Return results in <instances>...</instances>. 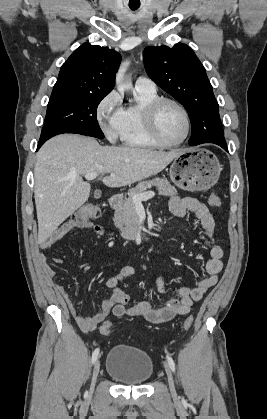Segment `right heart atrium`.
I'll use <instances>...</instances> for the list:
<instances>
[{
	"label": "right heart atrium",
	"mask_w": 267,
	"mask_h": 419,
	"mask_svg": "<svg viewBox=\"0 0 267 419\" xmlns=\"http://www.w3.org/2000/svg\"><path fill=\"white\" fill-rule=\"evenodd\" d=\"M121 98L116 91L105 95L96 107V119L104 135L115 141L120 134Z\"/></svg>",
	"instance_id": "d8ad5b80"
}]
</instances>
